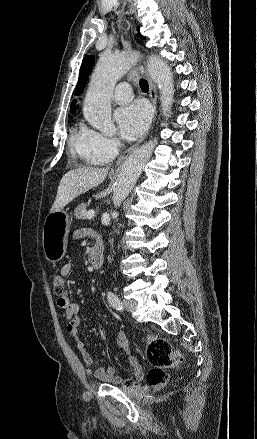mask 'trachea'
Wrapping results in <instances>:
<instances>
[{"label": "trachea", "mask_w": 257, "mask_h": 439, "mask_svg": "<svg viewBox=\"0 0 257 439\" xmlns=\"http://www.w3.org/2000/svg\"><path fill=\"white\" fill-rule=\"evenodd\" d=\"M139 85L142 91L147 92L149 89L148 82L145 79H140Z\"/></svg>", "instance_id": "1"}]
</instances>
